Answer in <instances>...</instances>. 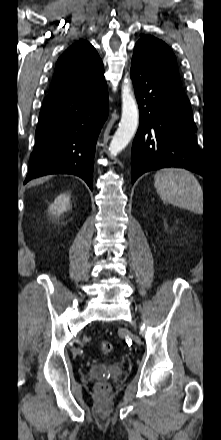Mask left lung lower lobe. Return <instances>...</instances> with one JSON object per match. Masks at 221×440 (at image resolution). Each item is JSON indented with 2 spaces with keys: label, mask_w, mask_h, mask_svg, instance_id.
<instances>
[{
  "label": "left lung lower lobe",
  "mask_w": 221,
  "mask_h": 440,
  "mask_svg": "<svg viewBox=\"0 0 221 440\" xmlns=\"http://www.w3.org/2000/svg\"><path fill=\"white\" fill-rule=\"evenodd\" d=\"M131 78L140 124L131 154L132 183L145 172L179 167L205 177V160L197 146L190 102L181 83L152 70L136 53Z\"/></svg>",
  "instance_id": "0a47b994"
}]
</instances>
